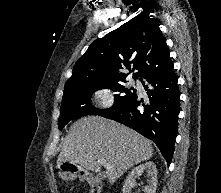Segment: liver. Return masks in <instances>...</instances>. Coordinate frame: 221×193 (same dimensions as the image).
Instances as JSON below:
<instances>
[{"label": "liver", "instance_id": "6515ba94", "mask_svg": "<svg viewBox=\"0 0 221 193\" xmlns=\"http://www.w3.org/2000/svg\"><path fill=\"white\" fill-rule=\"evenodd\" d=\"M150 140L113 120L88 116L77 120L63 141L57 167L66 162L99 172V160L112 168L107 178L113 184L125 171L153 156Z\"/></svg>", "mask_w": 221, "mask_h": 193}]
</instances>
